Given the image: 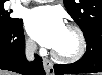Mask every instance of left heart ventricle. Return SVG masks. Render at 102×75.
<instances>
[{
  "label": "left heart ventricle",
  "instance_id": "b2bd125f",
  "mask_svg": "<svg viewBox=\"0 0 102 75\" xmlns=\"http://www.w3.org/2000/svg\"><path fill=\"white\" fill-rule=\"evenodd\" d=\"M78 45V38L75 33L65 28L53 49L63 55H72L77 51Z\"/></svg>",
  "mask_w": 102,
  "mask_h": 75
}]
</instances>
